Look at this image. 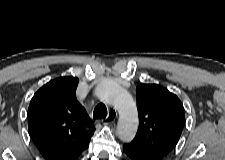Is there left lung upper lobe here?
Listing matches in <instances>:
<instances>
[{"mask_svg": "<svg viewBox=\"0 0 225 160\" xmlns=\"http://www.w3.org/2000/svg\"><path fill=\"white\" fill-rule=\"evenodd\" d=\"M139 127L135 138L126 145L148 160H162L178 143L185 124L179 98L157 84L137 86Z\"/></svg>", "mask_w": 225, "mask_h": 160, "instance_id": "obj_1", "label": "left lung upper lobe"}]
</instances>
